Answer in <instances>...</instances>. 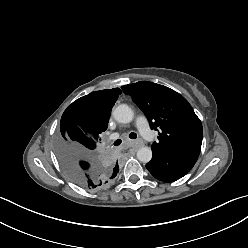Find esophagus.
Masks as SVG:
<instances>
[{"label":"esophagus","mask_w":248,"mask_h":248,"mask_svg":"<svg viewBox=\"0 0 248 248\" xmlns=\"http://www.w3.org/2000/svg\"><path fill=\"white\" fill-rule=\"evenodd\" d=\"M141 145L142 143L140 141H134L132 147L133 149H138Z\"/></svg>","instance_id":"esophagus-1"}]
</instances>
